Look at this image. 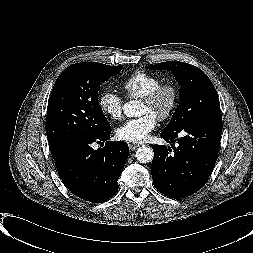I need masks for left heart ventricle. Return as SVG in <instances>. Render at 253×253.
Returning <instances> with one entry per match:
<instances>
[{"mask_svg": "<svg viewBox=\"0 0 253 253\" xmlns=\"http://www.w3.org/2000/svg\"><path fill=\"white\" fill-rule=\"evenodd\" d=\"M169 100V95L164 94L155 104L149 105L142 101L140 104L139 115L150 114L157 118V116L166 109Z\"/></svg>", "mask_w": 253, "mask_h": 253, "instance_id": "1", "label": "left heart ventricle"}]
</instances>
